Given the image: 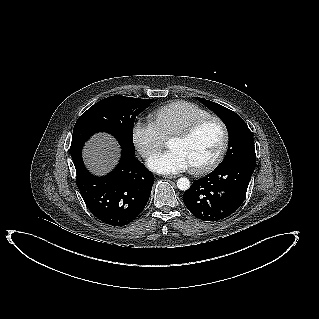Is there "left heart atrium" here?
Returning <instances> with one entry per match:
<instances>
[{"label": "left heart atrium", "instance_id": "obj_1", "mask_svg": "<svg viewBox=\"0 0 319 319\" xmlns=\"http://www.w3.org/2000/svg\"><path fill=\"white\" fill-rule=\"evenodd\" d=\"M148 166L153 171L164 174L179 173L190 167L185 156L176 149H169L154 155L148 161Z\"/></svg>", "mask_w": 319, "mask_h": 319}]
</instances>
